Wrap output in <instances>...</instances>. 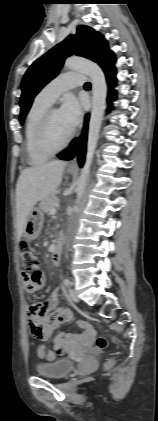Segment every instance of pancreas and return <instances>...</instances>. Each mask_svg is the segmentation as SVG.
Wrapping results in <instances>:
<instances>
[{
	"mask_svg": "<svg viewBox=\"0 0 158 421\" xmlns=\"http://www.w3.org/2000/svg\"><path fill=\"white\" fill-rule=\"evenodd\" d=\"M59 203V199L54 195L44 198L40 203V208L45 213H50L52 208H55Z\"/></svg>",
	"mask_w": 158,
	"mask_h": 421,
	"instance_id": "1",
	"label": "pancreas"
}]
</instances>
